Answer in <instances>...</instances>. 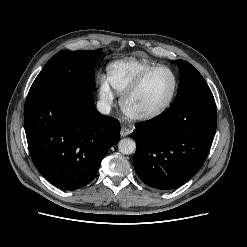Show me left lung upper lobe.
<instances>
[{"mask_svg":"<svg viewBox=\"0 0 247 247\" xmlns=\"http://www.w3.org/2000/svg\"><path fill=\"white\" fill-rule=\"evenodd\" d=\"M172 63L176 64L180 71L179 89L173 103L194 95H212L204 78L194 66L185 60H175Z\"/></svg>","mask_w":247,"mask_h":247,"instance_id":"obj_1","label":"left lung upper lobe"}]
</instances>
